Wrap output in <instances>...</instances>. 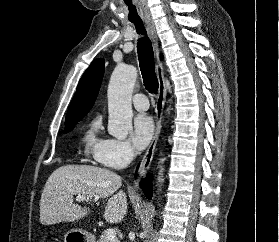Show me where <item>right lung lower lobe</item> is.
<instances>
[{"instance_id": "obj_1", "label": "right lung lower lobe", "mask_w": 279, "mask_h": 242, "mask_svg": "<svg viewBox=\"0 0 279 242\" xmlns=\"http://www.w3.org/2000/svg\"><path fill=\"white\" fill-rule=\"evenodd\" d=\"M151 180H152V176H149L141 182V187L144 191L145 196L148 199H151V197H152V183H151Z\"/></svg>"}]
</instances>
